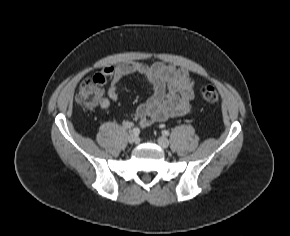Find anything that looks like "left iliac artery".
I'll return each mask as SVG.
<instances>
[{"label":"left iliac artery","mask_w":290,"mask_h":236,"mask_svg":"<svg viewBox=\"0 0 290 236\" xmlns=\"http://www.w3.org/2000/svg\"><path fill=\"white\" fill-rule=\"evenodd\" d=\"M162 134H163L164 136H168V135H169V131H168V130H163V131H162Z\"/></svg>","instance_id":"44dca946"}]
</instances>
